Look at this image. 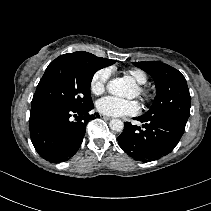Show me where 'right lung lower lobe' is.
I'll return each instance as SVG.
<instances>
[{"mask_svg": "<svg viewBox=\"0 0 211 211\" xmlns=\"http://www.w3.org/2000/svg\"><path fill=\"white\" fill-rule=\"evenodd\" d=\"M93 108V103L82 109L56 106L31 108L30 136L38 154L52 163L70 159L82 143L87 122L99 116L89 113Z\"/></svg>", "mask_w": 211, "mask_h": 211, "instance_id": "1", "label": "right lung lower lobe"}]
</instances>
